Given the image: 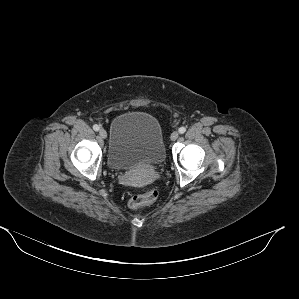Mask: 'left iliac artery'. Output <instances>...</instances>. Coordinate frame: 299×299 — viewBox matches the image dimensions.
Segmentation results:
<instances>
[{
  "mask_svg": "<svg viewBox=\"0 0 299 299\" xmlns=\"http://www.w3.org/2000/svg\"><path fill=\"white\" fill-rule=\"evenodd\" d=\"M178 131H179V133L183 134V133H185L186 128L185 127H180Z\"/></svg>",
  "mask_w": 299,
  "mask_h": 299,
  "instance_id": "44dca946",
  "label": "left iliac artery"
}]
</instances>
